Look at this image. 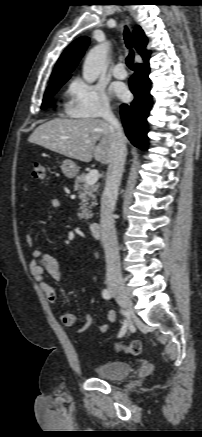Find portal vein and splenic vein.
Listing matches in <instances>:
<instances>
[{"instance_id":"18ae733b","label":"portal vein and splenic vein","mask_w":202,"mask_h":437,"mask_svg":"<svg viewBox=\"0 0 202 437\" xmlns=\"http://www.w3.org/2000/svg\"><path fill=\"white\" fill-rule=\"evenodd\" d=\"M99 179L98 170H91L86 176V185H93Z\"/></svg>"}]
</instances>
